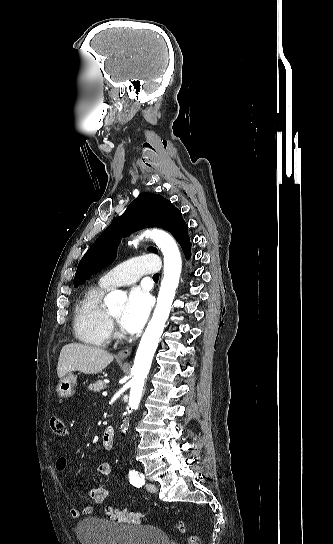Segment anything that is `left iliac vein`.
Segmentation results:
<instances>
[{
	"label": "left iliac vein",
	"mask_w": 333,
	"mask_h": 544,
	"mask_svg": "<svg viewBox=\"0 0 333 544\" xmlns=\"http://www.w3.org/2000/svg\"><path fill=\"white\" fill-rule=\"evenodd\" d=\"M146 489H147V491H149V492H151V493H155V492H157V490H158L157 487H156V485H154V484H152V483H147V484H146Z\"/></svg>",
	"instance_id": "1"
}]
</instances>
